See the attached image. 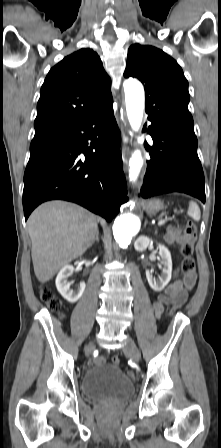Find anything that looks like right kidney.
Returning a JSON list of instances; mask_svg holds the SVG:
<instances>
[{"instance_id": "ca27d5eb", "label": "right kidney", "mask_w": 221, "mask_h": 448, "mask_svg": "<svg viewBox=\"0 0 221 448\" xmlns=\"http://www.w3.org/2000/svg\"><path fill=\"white\" fill-rule=\"evenodd\" d=\"M74 267L72 265L64 266L58 273L56 277V287L61 296L70 303H75L78 301L86 287L84 282H81L77 289L73 290L70 288V283L68 282V277L73 273Z\"/></svg>"}]
</instances>
